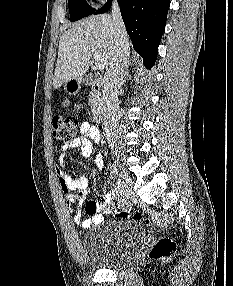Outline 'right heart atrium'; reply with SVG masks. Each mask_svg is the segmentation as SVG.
Here are the masks:
<instances>
[{"instance_id":"obj_1","label":"right heart atrium","mask_w":233,"mask_h":286,"mask_svg":"<svg viewBox=\"0 0 233 286\" xmlns=\"http://www.w3.org/2000/svg\"><path fill=\"white\" fill-rule=\"evenodd\" d=\"M94 1H96V0H94ZM97 1H104V0H97Z\"/></svg>"}]
</instances>
